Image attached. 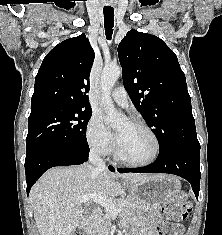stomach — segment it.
I'll return each instance as SVG.
<instances>
[{"label":"stomach","instance_id":"0dacf381","mask_svg":"<svg viewBox=\"0 0 222 235\" xmlns=\"http://www.w3.org/2000/svg\"><path fill=\"white\" fill-rule=\"evenodd\" d=\"M179 180L170 175H157L137 184H129L128 199L135 204L137 211L161 204L176 195L180 190Z\"/></svg>","mask_w":222,"mask_h":235}]
</instances>
